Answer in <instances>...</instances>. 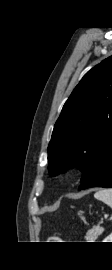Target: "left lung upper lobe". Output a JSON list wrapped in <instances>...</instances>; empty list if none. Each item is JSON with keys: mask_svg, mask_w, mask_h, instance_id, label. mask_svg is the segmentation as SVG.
<instances>
[{"mask_svg": "<svg viewBox=\"0 0 112 270\" xmlns=\"http://www.w3.org/2000/svg\"><path fill=\"white\" fill-rule=\"evenodd\" d=\"M111 145L112 56L85 74L64 104L48 146V171L55 176L76 167L84 182Z\"/></svg>", "mask_w": 112, "mask_h": 270, "instance_id": "obj_1", "label": "left lung upper lobe"}]
</instances>
